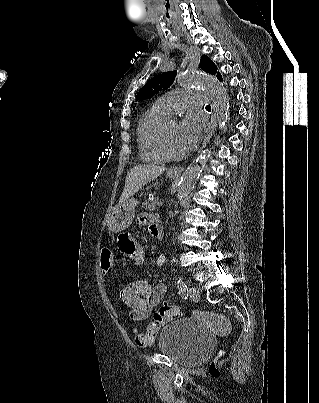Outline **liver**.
Segmentation results:
<instances>
[{
	"mask_svg": "<svg viewBox=\"0 0 319 403\" xmlns=\"http://www.w3.org/2000/svg\"><path fill=\"white\" fill-rule=\"evenodd\" d=\"M164 171V166L156 165H137L131 168L127 174L119 204L126 202L144 185L160 176Z\"/></svg>",
	"mask_w": 319,
	"mask_h": 403,
	"instance_id": "liver-1",
	"label": "liver"
}]
</instances>
